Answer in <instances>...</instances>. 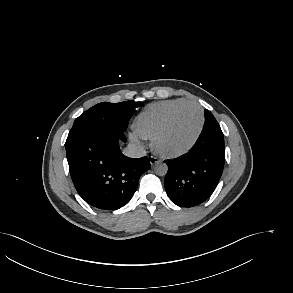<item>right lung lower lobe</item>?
Returning a JSON list of instances; mask_svg holds the SVG:
<instances>
[{
  "mask_svg": "<svg viewBox=\"0 0 293 293\" xmlns=\"http://www.w3.org/2000/svg\"><path fill=\"white\" fill-rule=\"evenodd\" d=\"M119 141L124 132L102 130L66 148L70 175L79 195L90 205L116 210L134 195L140 176L150 168L149 159L123 155Z\"/></svg>",
  "mask_w": 293,
  "mask_h": 293,
  "instance_id": "1",
  "label": "right lung lower lobe"
}]
</instances>
